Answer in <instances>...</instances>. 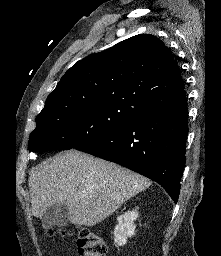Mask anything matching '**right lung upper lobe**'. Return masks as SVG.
<instances>
[{
	"mask_svg": "<svg viewBox=\"0 0 221 256\" xmlns=\"http://www.w3.org/2000/svg\"><path fill=\"white\" fill-rule=\"evenodd\" d=\"M185 101L181 73L170 49L153 35L139 34L78 61L61 78L38 115L112 104L138 117Z\"/></svg>",
	"mask_w": 221,
	"mask_h": 256,
	"instance_id": "cb5924a9",
	"label": "right lung upper lobe"
}]
</instances>
